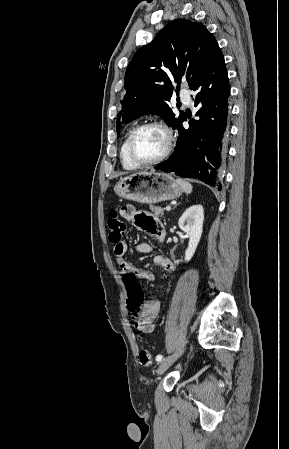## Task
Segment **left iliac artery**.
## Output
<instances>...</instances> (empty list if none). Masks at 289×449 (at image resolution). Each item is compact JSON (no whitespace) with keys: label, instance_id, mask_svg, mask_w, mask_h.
Listing matches in <instances>:
<instances>
[{"label":"left iliac artery","instance_id":"left-iliac-artery-1","mask_svg":"<svg viewBox=\"0 0 289 449\" xmlns=\"http://www.w3.org/2000/svg\"><path fill=\"white\" fill-rule=\"evenodd\" d=\"M164 356L163 355H157L156 356V361L161 362L163 360Z\"/></svg>","mask_w":289,"mask_h":449}]
</instances>
